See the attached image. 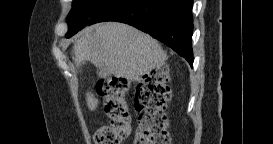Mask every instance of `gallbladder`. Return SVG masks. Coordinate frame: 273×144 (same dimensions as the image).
Returning a JSON list of instances; mask_svg holds the SVG:
<instances>
[{
	"label": "gallbladder",
	"instance_id": "bac80fb5",
	"mask_svg": "<svg viewBox=\"0 0 273 144\" xmlns=\"http://www.w3.org/2000/svg\"><path fill=\"white\" fill-rule=\"evenodd\" d=\"M97 76H99L98 78L100 79V80H107L108 79V76H107V72L105 71L104 73H102V71H97ZM102 74H104V75H102Z\"/></svg>",
	"mask_w": 273,
	"mask_h": 144
}]
</instances>
